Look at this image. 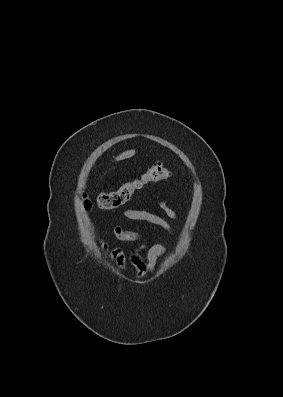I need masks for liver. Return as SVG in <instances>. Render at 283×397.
<instances>
[{
	"mask_svg": "<svg viewBox=\"0 0 283 397\" xmlns=\"http://www.w3.org/2000/svg\"><path fill=\"white\" fill-rule=\"evenodd\" d=\"M135 150H128V151H126V152H123L122 154H120L117 158H116V160L117 161H119V160H123V159H126V158H130V157H132L133 155H135Z\"/></svg>",
	"mask_w": 283,
	"mask_h": 397,
	"instance_id": "1",
	"label": "liver"
}]
</instances>
